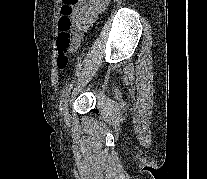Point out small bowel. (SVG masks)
Returning <instances> with one entry per match:
<instances>
[{
    "mask_svg": "<svg viewBox=\"0 0 207 179\" xmlns=\"http://www.w3.org/2000/svg\"><path fill=\"white\" fill-rule=\"evenodd\" d=\"M108 3L109 0H80L74 13L75 39L71 48L72 51L77 49L82 34L88 30L99 14L106 9Z\"/></svg>",
    "mask_w": 207,
    "mask_h": 179,
    "instance_id": "c3829d8e",
    "label": "small bowel"
}]
</instances>
